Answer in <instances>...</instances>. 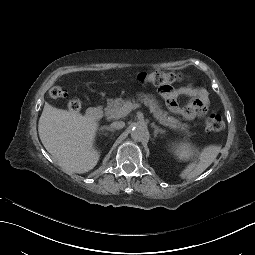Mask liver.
Masks as SVG:
<instances>
[{"label":"liver","instance_id":"6515ba94","mask_svg":"<svg viewBox=\"0 0 255 255\" xmlns=\"http://www.w3.org/2000/svg\"><path fill=\"white\" fill-rule=\"evenodd\" d=\"M98 128L94 120L80 113L57 109L45 102L39 119V137L62 168L75 173L93 169L99 153L93 149Z\"/></svg>","mask_w":255,"mask_h":255}]
</instances>
